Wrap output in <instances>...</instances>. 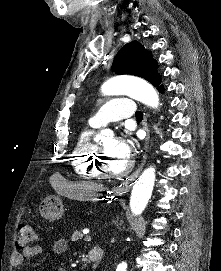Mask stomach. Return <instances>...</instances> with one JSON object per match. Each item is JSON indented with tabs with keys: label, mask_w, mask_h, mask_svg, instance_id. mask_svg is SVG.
<instances>
[{
	"label": "stomach",
	"mask_w": 221,
	"mask_h": 271,
	"mask_svg": "<svg viewBox=\"0 0 221 271\" xmlns=\"http://www.w3.org/2000/svg\"><path fill=\"white\" fill-rule=\"evenodd\" d=\"M64 207L60 197H45L40 209L41 215L46 219H58L63 215Z\"/></svg>",
	"instance_id": "1"
}]
</instances>
